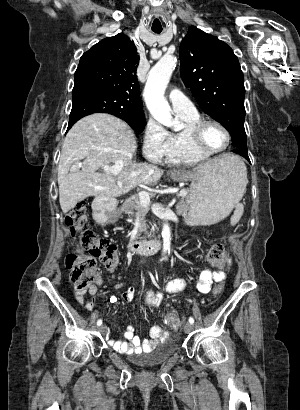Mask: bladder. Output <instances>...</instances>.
Instances as JSON below:
<instances>
[{
  "mask_svg": "<svg viewBox=\"0 0 300 410\" xmlns=\"http://www.w3.org/2000/svg\"><path fill=\"white\" fill-rule=\"evenodd\" d=\"M177 350L176 343L168 341L163 345H156L154 349H151L145 355H128V359L130 362L140 367L157 366L165 363L177 352Z\"/></svg>",
  "mask_w": 300,
  "mask_h": 410,
  "instance_id": "1",
  "label": "bladder"
}]
</instances>
